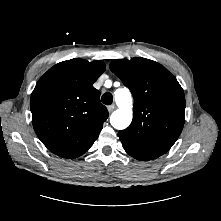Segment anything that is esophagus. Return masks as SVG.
<instances>
[{"label": "esophagus", "instance_id": "1", "mask_svg": "<svg viewBox=\"0 0 221 221\" xmlns=\"http://www.w3.org/2000/svg\"><path fill=\"white\" fill-rule=\"evenodd\" d=\"M107 109L111 113V112H113L116 109V105L115 104L110 105V106L107 107Z\"/></svg>", "mask_w": 221, "mask_h": 221}]
</instances>
